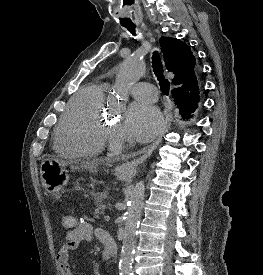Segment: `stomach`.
Segmentation results:
<instances>
[{"label": "stomach", "mask_w": 263, "mask_h": 275, "mask_svg": "<svg viewBox=\"0 0 263 275\" xmlns=\"http://www.w3.org/2000/svg\"><path fill=\"white\" fill-rule=\"evenodd\" d=\"M66 163L48 158L42 161L40 165L41 182L45 190L54 195L59 196L69 182L68 170Z\"/></svg>", "instance_id": "0dacf381"}]
</instances>
